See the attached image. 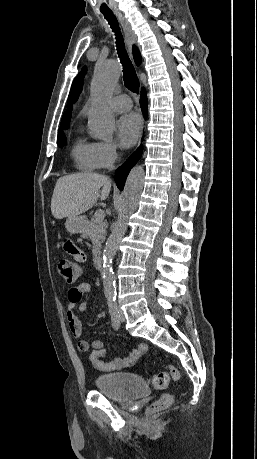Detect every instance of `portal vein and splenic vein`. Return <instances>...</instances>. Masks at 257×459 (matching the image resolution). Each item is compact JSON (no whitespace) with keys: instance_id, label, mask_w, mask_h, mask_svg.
<instances>
[{"instance_id":"obj_1","label":"portal vein and splenic vein","mask_w":257,"mask_h":459,"mask_svg":"<svg viewBox=\"0 0 257 459\" xmlns=\"http://www.w3.org/2000/svg\"><path fill=\"white\" fill-rule=\"evenodd\" d=\"M94 217L96 218V220L98 221H102L104 220V217H105V213L103 210H97L94 214Z\"/></svg>"}]
</instances>
